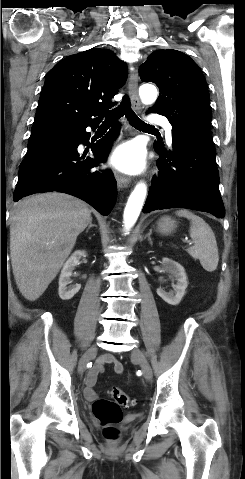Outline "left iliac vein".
<instances>
[{
	"label": "left iliac vein",
	"mask_w": 245,
	"mask_h": 479,
	"mask_svg": "<svg viewBox=\"0 0 245 479\" xmlns=\"http://www.w3.org/2000/svg\"><path fill=\"white\" fill-rule=\"evenodd\" d=\"M131 358L134 362L138 363L142 369L143 376L146 380H151L152 378V368L149 362L146 360L142 351L138 348L133 349L131 353Z\"/></svg>",
	"instance_id": "obj_1"
}]
</instances>
